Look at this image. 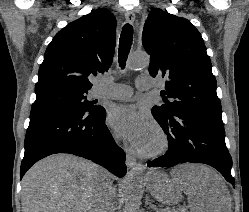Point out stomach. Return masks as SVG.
<instances>
[{
  "label": "stomach",
  "mask_w": 249,
  "mask_h": 212,
  "mask_svg": "<svg viewBox=\"0 0 249 212\" xmlns=\"http://www.w3.org/2000/svg\"><path fill=\"white\" fill-rule=\"evenodd\" d=\"M146 184L147 193H156V198H178L180 193V184H171L168 170H153V175H146ZM162 204H176V199H162Z\"/></svg>",
  "instance_id": "obj_1"
}]
</instances>
